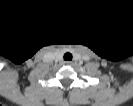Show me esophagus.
<instances>
[{"label": "esophagus", "mask_w": 133, "mask_h": 106, "mask_svg": "<svg viewBox=\"0 0 133 106\" xmlns=\"http://www.w3.org/2000/svg\"><path fill=\"white\" fill-rule=\"evenodd\" d=\"M65 64H66V65H72L73 62H72V61H65Z\"/></svg>", "instance_id": "obj_1"}]
</instances>
